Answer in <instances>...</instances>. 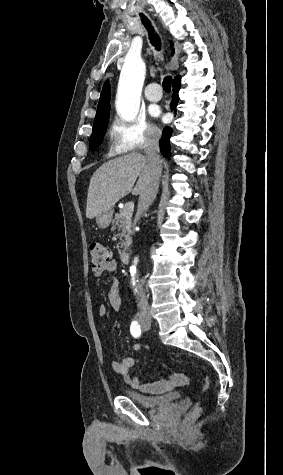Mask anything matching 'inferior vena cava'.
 <instances>
[{
    "label": "inferior vena cava",
    "mask_w": 283,
    "mask_h": 475,
    "mask_svg": "<svg viewBox=\"0 0 283 475\" xmlns=\"http://www.w3.org/2000/svg\"><path fill=\"white\" fill-rule=\"evenodd\" d=\"M160 138H161V134H151V140L150 142H148L144 150L146 162H148V166L145 172L146 174H148L149 178L147 180L144 194H140L137 214H142V212H145V210H148L149 206L153 204L156 198V194L158 192L159 180L161 178V172H162V160H160V156H159ZM143 285H144V281L143 279H140L137 285L138 295L140 297L138 307H140L141 313H148L150 307H149L148 299L146 297V293L143 289Z\"/></svg>",
    "instance_id": "inferior-vena-cava-1"
}]
</instances>
